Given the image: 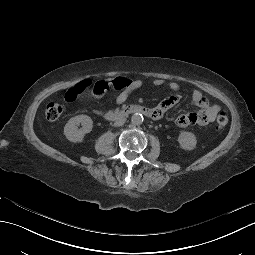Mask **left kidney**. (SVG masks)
Wrapping results in <instances>:
<instances>
[{
  "label": "left kidney",
  "mask_w": 255,
  "mask_h": 255,
  "mask_svg": "<svg viewBox=\"0 0 255 255\" xmlns=\"http://www.w3.org/2000/svg\"><path fill=\"white\" fill-rule=\"evenodd\" d=\"M177 141L179 142L180 148L186 151H193L197 145L196 136L187 131H180Z\"/></svg>",
  "instance_id": "1"
}]
</instances>
